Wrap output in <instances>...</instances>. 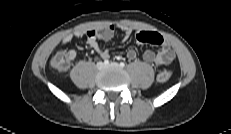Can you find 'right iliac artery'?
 I'll list each match as a JSON object with an SVG mask.
<instances>
[{
    "label": "right iliac artery",
    "instance_id": "right-iliac-artery-1",
    "mask_svg": "<svg viewBox=\"0 0 231 134\" xmlns=\"http://www.w3.org/2000/svg\"><path fill=\"white\" fill-rule=\"evenodd\" d=\"M104 64H105V65H108V64H109V60H108V59H105V60H104Z\"/></svg>",
    "mask_w": 231,
    "mask_h": 134
}]
</instances>
